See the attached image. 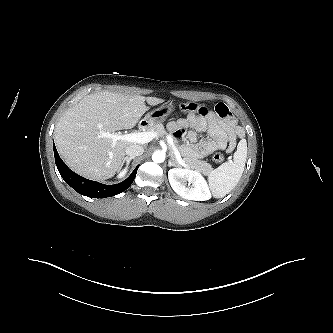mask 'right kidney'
Wrapping results in <instances>:
<instances>
[{"mask_svg": "<svg viewBox=\"0 0 333 333\" xmlns=\"http://www.w3.org/2000/svg\"><path fill=\"white\" fill-rule=\"evenodd\" d=\"M127 168H128V166H126V167H125V168L119 173V175H118L119 178L125 176V174H126V172H127Z\"/></svg>", "mask_w": 333, "mask_h": 333, "instance_id": "ca27d5eb", "label": "right kidney"}]
</instances>
